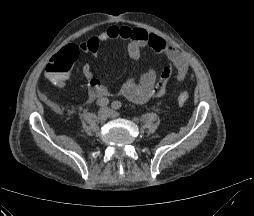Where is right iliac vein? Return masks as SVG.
I'll return each instance as SVG.
<instances>
[{
	"instance_id": "63e3f726",
	"label": "right iliac vein",
	"mask_w": 254,
	"mask_h": 216,
	"mask_svg": "<svg viewBox=\"0 0 254 216\" xmlns=\"http://www.w3.org/2000/svg\"><path fill=\"white\" fill-rule=\"evenodd\" d=\"M108 116H109V110L107 108H101L98 111L97 119L99 122L103 123L107 120Z\"/></svg>"
}]
</instances>
